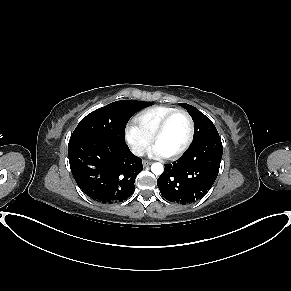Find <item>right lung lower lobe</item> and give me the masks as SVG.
Wrapping results in <instances>:
<instances>
[{
	"instance_id": "obj_1",
	"label": "right lung lower lobe",
	"mask_w": 291,
	"mask_h": 291,
	"mask_svg": "<svg viewBox=\"0 0 291 291\" xmlns=\"http://www.w3.org/2000/svg\"><path fill=\"white\" fill-rule=\"evenodd\" d=\"M68 157L77 185L94 201L122 202L135 190L142 160L131 153L125 142L104 138L69 141Z\"/></svg>"
}]
</instances>
